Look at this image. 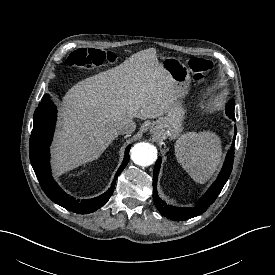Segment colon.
Wrapping results in <instances>:
<instances>
[{
    "label": "colon",
    "mask_w": 275,
    "mask_h": 275,
    "mask_svg": "<svg viewBox=\"0 0 275 275\" xmlns=\"http://www.w3.org/2000/svg\"><path fill=\"white\" fill-rule=\"evenodd\" d=\"M115 60L116 55L111 51L89 48L72 52L67 58V64L80 69H90L113 63ZM188 64L197 83H203L213 70L212 62L202 57H191Z\"/></svg>",
    "instance_id": "1"
}]
</instances>
